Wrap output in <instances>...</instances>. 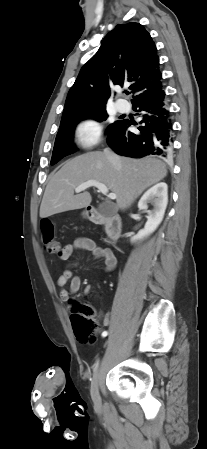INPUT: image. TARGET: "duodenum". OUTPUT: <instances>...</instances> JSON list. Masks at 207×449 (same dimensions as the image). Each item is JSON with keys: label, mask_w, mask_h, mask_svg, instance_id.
Returning a JSON list of instances; mask_svg holds the SVG:
<instances>
[{"label": "duodenum", "mask_w": 207, "mask_h": 449, "mask_svg": "<svg viewBox=\"0 0 207 449\" xmlns=\"http://www.w3.org/2000/svg\"><path fill=\"white\" fill-rule=\"evenodd\" d=\"M87 218L95 225H105L109 238L112 242L120 239L123 229V223L120 216H105L101 214L97 208L89 207L87 210Z\"/></svg>", "instance_id": "1"}]
</instances>
